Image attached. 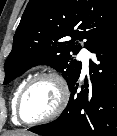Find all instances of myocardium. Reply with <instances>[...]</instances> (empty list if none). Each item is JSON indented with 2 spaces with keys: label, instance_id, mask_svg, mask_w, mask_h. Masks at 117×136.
Returning <instances> with one entry per match:
<instances>
[{
  "label": "myocardium",
  "instance_id": "myocardium-1",
  "mask_svg": "<svg viewBox=\"0 0 117 136\" xmlns=\"http://www.w3.org/2000/svg\"><path fill=\"white\" fill-rule=\"evenodd\" d=\"M42 80H51L55 83L59 93L58 104L56 108L53 110V112L47 115L46 117L31 121L24 120L21 116L20 111L23 98L26 95V93L31 89V87H33L36 83ZM68 99H69V87L64 76L61 73L54 70L42 72L28 80L27 83L21 89L15 106V116L18 121L26 125L47 123L56 119L63 112L67 105Z\"/></svg>",
  "mask_w": 117,
  "mask_h": 136
}]
</instances>
